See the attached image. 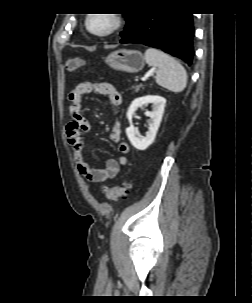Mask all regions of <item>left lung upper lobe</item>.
<instances>
[{
  "label": "left lung upper lobe",
  "mask_w": 252,
  "mask_h": 303,
  "mask_svg": "<svg viewBox=\"0 0 252 303\" xmlns=\"http://www.w3.org/2000/svg\"><path fill=\"white\" fill-rule=\"evenodd\" d=\"M142 14H143L142 11H138L132 14H123L127 23L124 31L120 33L122 39L127 37L133 31V29L138 24Z\"/></svg>",
  "instance_id": "5c2ea615"
}]
</instances>
